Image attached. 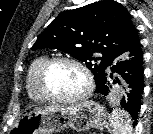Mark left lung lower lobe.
Listing matches in <instances>:
<instances>
[{
  "label": "left lung lower lobe",
  "instance_id": "left-lung-lower-lobe-1",
  "mask_svg": "<svg viewBox=\"0 0 153 134\" xmlns=\"http://www.w3.org/2000/svg\"><path fill=\"white\" fill-rule=\"evenodd\" d=\"M112 73L105 72L100 81L96 84V93L107 95L112 88L110 78L113 79V73L116 72L128 83L129 91L127 100L123 98L122 107L130 113L133 120H137L138 112L141 106V98L144 86V68L143 52L141 44L130 52L125 60L117 59L110 68ZM120 83L118 77H115L113 84ZM136 122L133 123L135 126Z\"/></svg>",
  "mask_w": 153,
  "mask_h": 134
}]
</instances>
